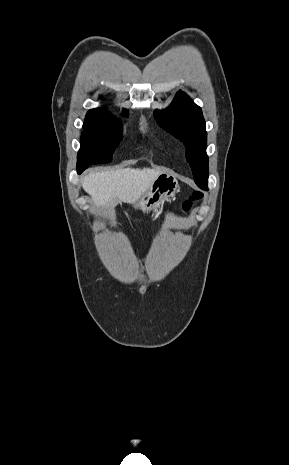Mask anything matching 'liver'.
<instances>
[{"instance_id":"6515ba94","label":"liver","mask_w":289,"mask_h":465,"mask_svg":"<svg viewBox=\"0 0 289 465\" xmlns=\"http://www.w3.org/2000/svg\"><path fill=\"white\" fill-rule=\"evenodd\" d=\"M160 174L150 168L92 172L82 179V187L97 207L111 210L120 202L138 200Z\"/></svg>"}]
</instances>
